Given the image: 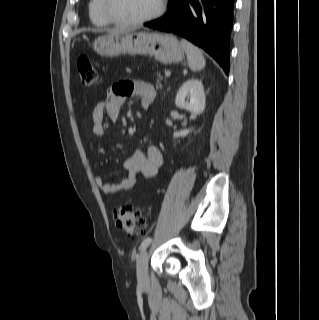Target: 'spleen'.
Wrapping results in <instances>:
<instances>
[{
	"label": "spleen",
	"instance_id": "3e777b00",
	"mask_svg": "<svg viewBox=\"0 0 319 320\" xmlns=\"http://www.w3.org/2000/svg\"><path fill=\"white\" fill-rule=\"evenodd\" d=\"M181 46L186 53L190 69L192 71L202 70L206 64L202 51L186 39L181 40Z\"/></svg>",
	"mask_w": 319,
	"mask_h": 320
}]
</instances>
